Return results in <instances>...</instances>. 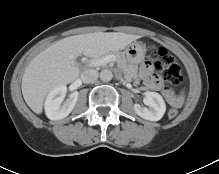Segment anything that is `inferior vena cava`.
Segmentation results:
<instances>
[{
    "mask_svg": "<svg viewBox=\"0 0 219 174\" xmlns=\"http://www.w3.org/2000/svg\"><path fill=\"white\" fill-rule=\"evenodd\" d=\"M98 78V72L93 69H88L82 72L81 79L84 83H91Z\"/></svg>",
    "mask_w": 219,
    "mask_h": 174,
    "instance_id": "inferior-vena-cava-1",
    "label": "inferior vena cava"
}]
</instances>
